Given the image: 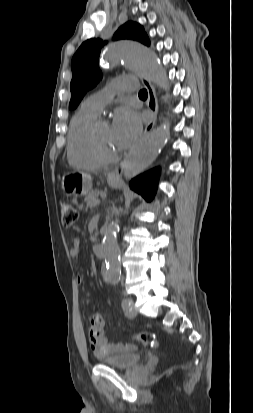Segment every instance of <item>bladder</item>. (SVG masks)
<instances>
[{
	"label": "bladder",
	"mask_w": 253,
	"mask_h": 413,
	"mask_svg": "<svg viewBox=\"0 0 253 413\" xmlns=\"http://www.w3.org/2000/svg\"><path fill=\"white\" fill-rule=\"evenodd\" d=\"M141 359L140 353L134 348H123L109 356L101 359L105 365L116 369H129L135 366Z\"/></svg>",
	"instance_id": "bladder-1"
}]
</instances>
